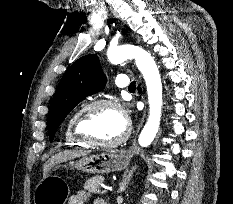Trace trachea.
<instances>
[{
	"label": "trachea",
	"instance_id": "1",
	"mask_svg": "<svg viewBox=\"0 0 233 204\" xmlns=\"http://www.w3.org/2000/svg\"><path fill=\"white\" fill-rule=\"evenodd\" d=\"M129 90H134V89H136V82L135 81H133L130 85H129V88H128Z\"/></svg>",
	"mask_w": 233,
	"mask_h": 204
}]
</instances>
